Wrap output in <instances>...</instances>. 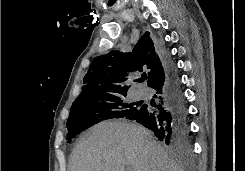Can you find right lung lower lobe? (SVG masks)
<instances>
[{
	"label": "right lung lower lobe",
	"mask_w": 245,
	"mask_h": 171,
	"mask_svg": "<svg viewBox=\"0 0 245 171\" xmlns=\"http://www.w3.org/2000/svg\"><path fill=\"white\" fill-rule=\"evenodd\" d=\"M164 62L163 77L153 83L157 103L141 106L131 120L152 130L155 136L171 147L187 146L189 140L188 113L174 61L168 52L160 50Z\"/></svg>",
	"instance_id": "obj_1"
}]
</instances>
